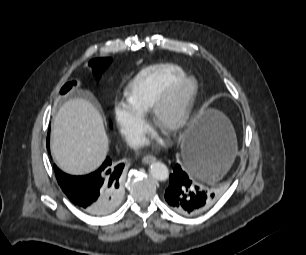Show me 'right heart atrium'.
I'll return each mask as SVG.
<instances>
[{"label":"right heart atrium","instance_id":"obj_1","mask_svg":"<svg viewBox=\"0 0 306 255\" xmlns=\"http://www.w3.org/2000/svg\"><path fill=\"white\" fill-rule=\"evenodd\" d=\"M114 118L118 129L131 146H138L144 138L146 122L129 103L119 101L114 106Z\"/></svg>","mask_w":306,"mask_h":255}]
</instances>
